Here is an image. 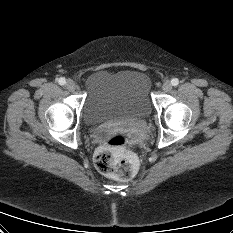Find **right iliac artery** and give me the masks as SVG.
Segmentation results:
<instances>
[{
    "label": "right iliac artery",
    "mask_w": 233,
    "mask_h": 233,
    "mask_svg": "<svg viewBox=\"0 0 233 233\" xmlns=\"http://www.w3.org/2000/svg\"><path fill=\"white\" fill-rule=\"evenodd\" d=\"M58 83H59L60 85H65L66 79H65L64 77H61V78L58 79Z\"/></svg>",
    "instance_id": "82829eb1"
}]
</instances>
